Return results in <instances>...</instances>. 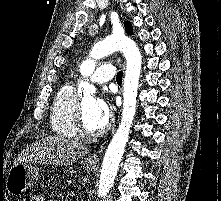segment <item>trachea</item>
Here are the masks:
<instances>
[{"label": "trachea", "instance_id": "3493384b", "mask_svg": "<svg viewBox=\"0 0 221 201\" xmlns=\"http://www.w3.org/2000/svg\"><path fill=\"white\" fill-rule=\"evenodd\" d=\"M122 76H123V72L122 71L118 72L117 78H116L118 84L122 83Z\"/></svg>", "mask_w": 221, "mask_h": 201}]
</instances>
